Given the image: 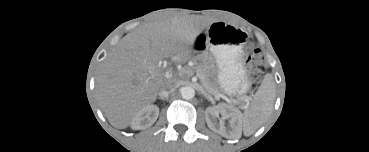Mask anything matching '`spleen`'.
Here are the masks:
<instances>
[{
  "label": "spleen",
  "instance_id": "1",
  "mask_svg": "<svg viewBox=\"0 0 369 152\" xmlns=\"http://www.w3.org/2000/svg\"><path fill=\"white\" fill-rule=\"evenodd\" d=\"M274 98V84L272 78L267 75L260 85L252 105L241 117V124L245 134L251 135L254 133L269 117L273 108Z\"/></svg>",
  "mask_w": 369,
  "mask_h": 152
}]
</instances>
